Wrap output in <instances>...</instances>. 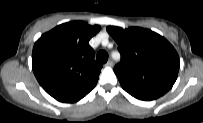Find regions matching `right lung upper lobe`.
Returning a JSON list of instances; mask_svg holds the SVG:
<instances>
[{
    "label": "right lung upper lobe",
    "mask_w": 203,
    "mask_h": 123,
    "mask_svg": "<svg viewBox=\"0 0 203 123\" xmlns=\"http://www.w3.org/2000/svg\"><path fill=\"white\" fill-rule=\"evenodd\" d=\"M99 30V25L71 21L35 42L32 69L49 95L80 93L96 85L102 65L94 61V51L88 42Z\"/></svg>",
    "instance_id": "1"
}]
</instances>
